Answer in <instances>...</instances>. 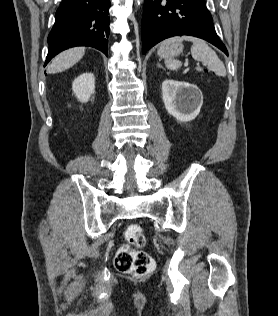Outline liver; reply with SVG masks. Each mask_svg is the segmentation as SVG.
I'll list each match as a JSON object with an SVG mask.
<instances>
[{
    "label": "liver",
    "instance_id": "6515ba94",
    "mask_svg": "<svg viewBox=\"0 0 278 316\" xmlns=\"http://www.w3.org/2000/svg\"><path fill=\"white\" fill-rule=\"evenodd\" d=\"M85 54L84 47L68 49L57 55L47 69V73L54 74L65 71L75 65Z\"/></svg>",
    "mask_w": 278,
    "mask_h": 316
}]
</instances>
